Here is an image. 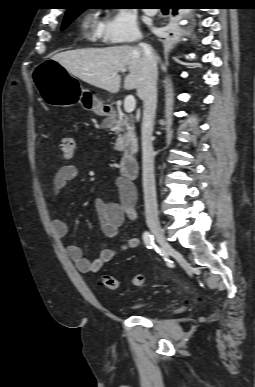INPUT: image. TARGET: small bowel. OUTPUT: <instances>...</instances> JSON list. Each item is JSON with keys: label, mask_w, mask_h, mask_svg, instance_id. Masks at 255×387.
Instances as JSON below:
<instances>
[{"label": "small bowel", "mask_w": 255, "mask_h": 387, "mask_svg": "<svg viewBox=\"0 0 255 387\" xmlns=\"http://www.w3.org/2000/svg\"><path fill=\"white\" fill-rule=\"evenodd\" d=\"M71 158V157H70ZM70 158H64L68 160ZM78 175V168L74 164L61 166L52 179V192L58 195L67 183ZM118 188V201L110 202L103 198L94 200V207L98 216L102 233L109 238H117L119 229L125 219L136 220V191L134 186L123 179L116 182ZM54 234L63 238L68 234L69 226L60 216L55 215L52 219ZM140 244L137 237H130L122 242L117 248L102 249L97 258L90 260L85 257L82 249L74 244H66L65 251L81 273H97L102 267L113 260L121 252L136 249Z\"/></svg>", "instance_id": "1"}]
</instances>
